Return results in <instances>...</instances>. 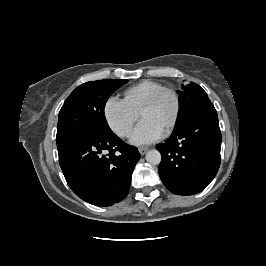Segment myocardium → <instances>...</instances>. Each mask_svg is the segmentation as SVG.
<instances>
[{
	"label": "myocardium",
	"mask_w": 266,
	"mask_h": 266,
	"mask_svg": "<svg viewBox=\"0 0 266 266\" xmlns=\"http://www.w3.org/2000/svg\"><path fill=\"white\" fill-rule=\"evenodd\" d=\"M165 93H169L173 96L174 100H175V111H174V115L172 117V119L170 120V122L167 124V126L165 127L166 131L171 130L177 123L179 116H180V112H181V99H180V95L177 92L176 89L171 88V87H163L159 90H157L154 94H152V96L144 103V105L142 106L141 110H140V116L142 115V112L153 106L154 104H156L158 102V100L165 94Z\"/></svg>",
	"instance_id": "obj_1"
}]
</instances>
